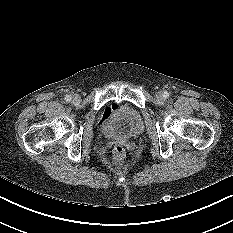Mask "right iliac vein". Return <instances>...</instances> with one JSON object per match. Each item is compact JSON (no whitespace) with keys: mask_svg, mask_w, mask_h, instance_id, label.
Wrapping results in <instances>:
<instances>
[{"mask_svg":"<svg viewBox=\"0 0 233 233\" xmlns=\"http://www.w3.org/2000/svg\"><path fill=\"white\" fill-rule=\"evenodd\" d=\"M72 100H73V102H79L80 101V96L78 95V94H74L73 96H72Z\"/></svg>","mask_w":233,"mask_h":233,"instance_id":"1","label":"right iliac vein"}]
</instances>
